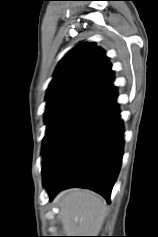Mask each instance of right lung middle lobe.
<instances>
[{"instance_id": "right-lung-middle-lobe-1", "label": "right lung middle lobe", "mask_w": 158, "mask_h": 237, "mask_svg": "<svg viewBox=\"0 0 158 237\" xmlns=\"http://www.w3.org/2000/svg\"><path fill=\"white\" fill-rule=\"evenodd\" d=\"M81 106L79 103L68 100L50 101L45 111V121L48 124L45 138L61 123L70 113Z\"/></svg>"}]
</instances>
